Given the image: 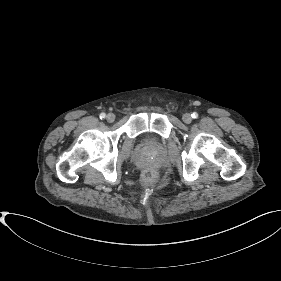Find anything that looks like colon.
Returning <instances> with one entry per match:
<instances>
[{"label":"colon","instance_id":"1","mask_svg":"<svg viewBox=\"0 0 281 281\" xmlns=\"http://www.w3.org/2000/svg\"><path fill=\"white\" fill-rule=\"evenodd\" d=\"M156 172L152 169L146 170L142 175V181L145 185H151L156 180Z\"/></svg>","mask_w":281,"mask_h":281}]
</instances>
